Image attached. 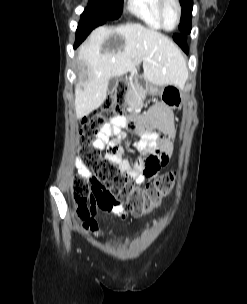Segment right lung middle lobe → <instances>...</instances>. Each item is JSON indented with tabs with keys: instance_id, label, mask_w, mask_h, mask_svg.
I'll list each match as a JSON object with an SVG mask.
<instances>
[{
	"instance_id": "right-lung-middle-lobe-1",
	"label": "right lung middle lobe",
	"mask_w": 247,
	"mask_h": 304,
	"mask_svg": "<svg viewBox=\"0 0 247 304\" xmlns=\"http://www.w3.org/2000/svg\"><path fill=\"white\" fill-rule=\"evenodd\" d=\"M122 7L123 0H90L88 7L81 14V20H87L95 25H87L79 31L80 34L86 38L99 25L96 24L97 22L118 19L122 13Z\"/></svg>"
}]
</instances>
